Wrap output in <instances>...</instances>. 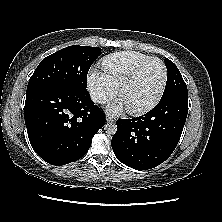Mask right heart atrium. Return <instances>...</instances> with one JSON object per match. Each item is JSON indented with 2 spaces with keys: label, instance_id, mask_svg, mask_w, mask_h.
I'll return each mask as SVG.
<instances>
[{
  "label": "right heart atrium",
  "instance_id": "d8ad5b80",
  "mask_svg": "<svg viewBox=\"0 0 222 222\" xmlns=\"http://www.w3.org/2000/svg\"><path fill=\"white\" fill-rule=\"evenodd\" d=\"M87 88L91 98L96 103H103L108 98L113 97L117 92V87L109 77L96 68L90 69L87 76Z\"/></svg>",
  "mask_w": 222,
  "mask_h": 222
}]
</instances>
